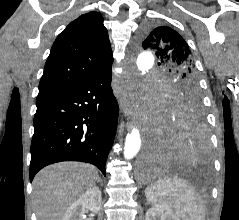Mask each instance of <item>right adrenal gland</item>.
<instances>
[{
    "mask_svg": "<svg viewBox=\"0 0 239 220\" xmlns=\"http://www.w3.org/2000/svg\"><path fill=\"white\" fill-rule=\"evenodd\" d=\"M98 182L100 183L101 186H103L102 180L98 178Z\"/></svg>",
    "mask_w": 239,
    "mask_h": 220,
    "instance_id": "right-adrenal-gland-1",
    "label": "right adrenal gland"
}]
</instances>
